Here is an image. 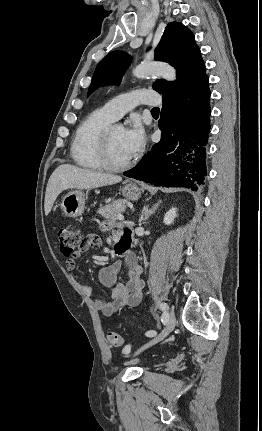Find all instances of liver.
Segmentation results:
<instances>
[{"mask_svg":"<svg viewBox=\"0 0 262 431\" xmlns=\"http://www.w3.org/2000/svg\"><path fill=\"white\" fill-rule=\"evenodd\" d=\"M120 176L99 173L70 164L58 166L49 178L44 202V211L47 216L58 195L67 189H92L119 183Z\"/></svg>","mask_w":262,"mask_h":431,"instance_id":"6515ba94","label":"liver"}]
</instances>
